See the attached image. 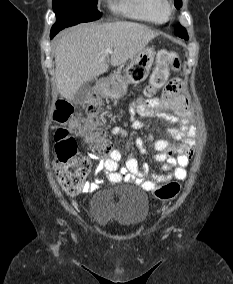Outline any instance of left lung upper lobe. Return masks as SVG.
<instances>
[{
    "mask_svg": "<svg viewBox=\"0 0 233 284\" xmlns=\"http://www.w3.org/2000/svg\"><path fill=\"white\" fill-rule=\"evenodd\" d=\"M181 6H182V1L181 0H175V7L177 9H179ZM175 34L177 36L181 37V38L186 39V40L188 39V34H187L185 28L182 27L180 24H177Z\"/></svg>",
    "mask_w": 233,
    "mask_h": 284,
    "instance_id": "5c2ea615",
    "label": "left lung upper lobe"
}]
</instances>
